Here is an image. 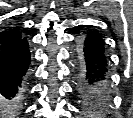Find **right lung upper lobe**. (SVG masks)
<instances>
[{"label":"right lung upper lobe","mask_w":133,"mask_h":118,"mask_svg":"<svg viewBox=\"0 0 133 118\" xmlns=\"http://www.w3.org/2000/svg\"><path fill=\"white\" fill-rule=\"evenodd\" d=\"M22 39L17 28L9 29L0 34V50L15 44Z\"/></svg>","instance_id":"cb5924a9"}]
</instances>
